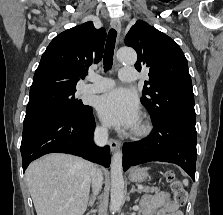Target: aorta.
Here are the masks:
<instances>
[{
    "mask_svg": "<svg viewBox=\"0 0 223 215\" xmlns=\"http://www.w3.org/2000/svg\"><path fill=\"white\" fill-rule=\"evenodd\" d=\"M117 60L123 64H135L137 54L133 48H120ZM124 201V177L122 167V151L118 149L111 159V211H118Z\"/></svg>",
    "mask_w": 223,
    "mask_h": 215,
    "instance_id": "1",
    "label": "aorta"
}]
</instances>
